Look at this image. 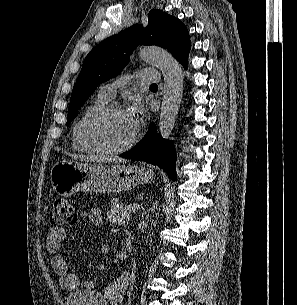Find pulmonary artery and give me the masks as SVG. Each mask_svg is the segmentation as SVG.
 <instances>
[{
	"mask_svg": "<svg viewBox=\"0 0 297 305\" xmlns=\"http://www.w3.org/2000/svg\"><path fill=\"white\" fill-rule=\"evenodd\" d=\"M139 81L147 82V83H156L158 81V77L155 70L152 69H144L140 71L136 77ZM133 77L130 75H122L111 82L103 84L100 87L99 94L106 99H111L115 96L116 91L132 81Z\"/></svg>",
	"mask_w": 297,
	"mask_h": 305,
	"instance_id": "1",
	"label": "pulmonary artery"
}]
</instances>
